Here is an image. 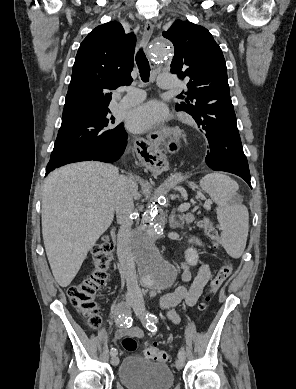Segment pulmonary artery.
Instances as JSON below:
<instances>
[{"instance_id":"e3ab8cb5","label":"pulmonary artery","mask_w":296,"mask_h":389,"mask_svg":"<svg viewBox=\"0 0 296 389\" xmlns=\"http://www.w3.org/2000/svg\"><path fill=\"white\" fill-rule=\"evenodd\" d=\"M158 84L163 89H173L176 87V80L172 75L162 74L158 78ZM145 98V93L138 88H128L126 95L122 98L120 107L127 108L139 104Z\"/></svg>"}]
</instances>
